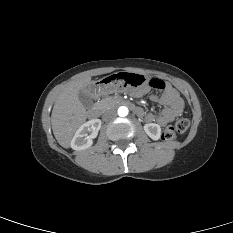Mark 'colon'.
Instances as JSON below:
<instances>
[{"instance_id":"colon-1","label":"colon","mask_w":233,"mask_h":233,"mask_svg":"<svg viewBox=\"0 0 233 233\" xmlns=\"http://www.w3.org/2000/svg\"><path fill=\"white\" fill-rule=\"evenodd\" d=\"M149 86L157 90H164L166 88V83L160 79L153 78L149 81ZM188 127L189 121L186 118H180L164 129L163 138L165 140H173L176 138L177 134L185 133Z\"/></svg>"}]
</instances>
